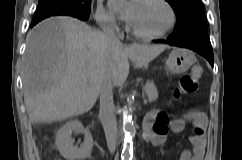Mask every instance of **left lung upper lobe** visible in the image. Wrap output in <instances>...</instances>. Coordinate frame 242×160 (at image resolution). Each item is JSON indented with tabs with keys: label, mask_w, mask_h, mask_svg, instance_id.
<instances>
[{
	"label": "left lung upper lobe",
	"mask_w": 242,
	"mask_h": 160,
	"mask_svg": "<svg viewBox=\"0 0 242 160\" xmlns=\"http://www.w3.org/2000/svg\"><path fill=\"white\" fill-rule=\"evenodd\" d=\"M174 9L177 24L170 35L179 39L192 34L208 33L201 0H166Z\"/></svg>",
	"instance_id": "obj_1"
}]
</instances>
